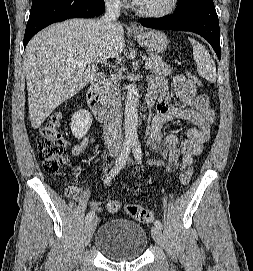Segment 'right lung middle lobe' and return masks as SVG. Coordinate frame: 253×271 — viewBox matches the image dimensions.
<instances>
[{
	"label": "right lung middle lobe",
	"instance_id": "1",
	"mask_svg": "<svg viewBox=\"0 0 253 271\" xmlns=\"http://www.w3.org/2000/svg\"><path fill=\"white\" fill-rule=\"evenodd\" d=\"M40 1H44V0H32V4H34L36 2H40Z\"/></svg>",
	"mask_w": 253,
	"mask_h": 271
}]
</instances>
